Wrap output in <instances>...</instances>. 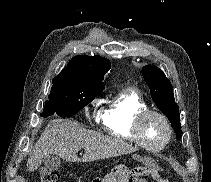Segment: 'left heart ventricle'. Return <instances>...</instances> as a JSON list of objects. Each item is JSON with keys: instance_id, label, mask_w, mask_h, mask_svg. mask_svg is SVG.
I'll return each mask as SVG.
<instances>
[{"instance_id": "obj_1", "label": "left heart ventricle", "mask_w": 211, "mask_h": 182, "mask_svg": "<svg viewBox=\"0 0 211 182\" xmlns=\"http://www.w3.org/2000/svg\"><path fill=\"white\" fill-rule=\"evenodd\" d=\"M141 133L143 140L151 145H160L167 136V129L164 122L155 115L146 117L142 123Z\"/></svg>"}]
</instances>
